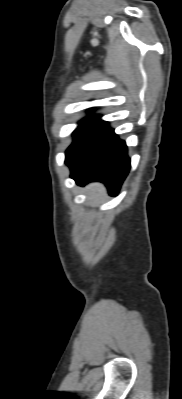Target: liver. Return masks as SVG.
Here are the masks:
<instances>
[{
    "instance_id": "1",
    "label": "liver",
    "mask_w": 182,
    "mask_h": 399,
    "mask_svg": "<svg viewBox=\"0 0 182 399\" xmlns=\"http://www.w3.org/2000/svg\"><path fill=\"white\" fill-rule=\"evenodd\" d=\"M92 191L93 192H96V191L102 192L103 191V187L100 186V185H95V186H93Z\"/></svg>"
}]
</instances>
